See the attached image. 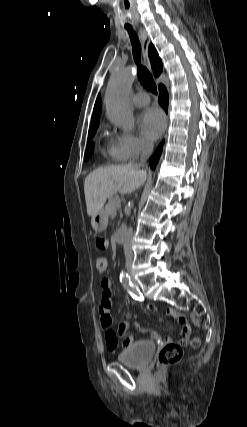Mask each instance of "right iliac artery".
I'll use <instances>...</instances> for the list:
<instances>
[{
    "mask_svg": "<svg viewBox=\"0 0 247 427\" xmlns=\"http://www.w3.org/2000/svg\"><path fill=\"white\" fill-rule=\"evenodd\" d=\"M120 281L123 287L127 290V292L136 300L143 301L144 297L138 287L134 286V284L130 280V276L128 274H122L120 276Z\"/></svg>",
    "mask_w": 247,
    "mask_h": 427,
    "instance_id": "82829eb1",
    "label": "right iliac artery"
}]
</instances>
